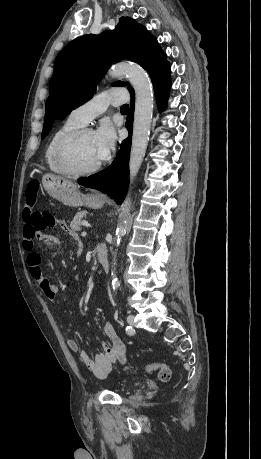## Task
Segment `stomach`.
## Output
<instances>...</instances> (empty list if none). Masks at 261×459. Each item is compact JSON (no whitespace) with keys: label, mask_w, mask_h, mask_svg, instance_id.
I'll list each match as a JSON object with an SVG mask.
<instances>
[{"label":"stomach","mask_w":261,"mask_h":459,"mask_svg":"<svg viewBox=\"0 0 261 459\" xmlns=\"http://www.w3.org/2000/svg\"><path fill=\"white\" fill-rule=\"evenodd\" d=\"M42 184L47 193L54 199L66 206L90 208H101L105 199L98 194H82L78 186L62 177L45 174L42 177Z\"/></svg>","instance_id":"obj_1"}]
</instances>
